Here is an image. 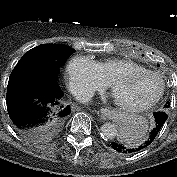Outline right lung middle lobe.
<instances>
[{
  "mask_svg": "<svg viewBox=\"0 0 177 177\" xmlns=\"http://www.w3.org/2000/svg\"><path fill=\"white\" fill-rule=\"evenodd\" d=\"M75 50L62 44H42L26 52L14 69L26 63H33L58 75L60 67ZM58 132L55 131L54 133Z\"/></svg>",
  "mask_w": 177,
  "mask_h": 177,
  "instance_id": "right-lung-middle-lobe-1",
  "label": "right lung middle lobe"
}]
</instances>
